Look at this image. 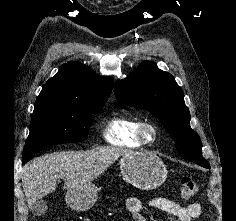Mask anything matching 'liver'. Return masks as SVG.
<instances>
[{
    "mask_svg": "<svg viewBox=\"0 0 236 221\" xmlns=\"http://www.w3.org/2000/svg\"><path fill=\"white\" fill-rule=\"evenodd\" d=\"M131 153L115 146L96 147L87 151H61L43 155L24 166L22 186L28 207L56 190L64 179L67 190L81 188L101 175L120 156Z\"/></svg>",
    "mask_w": 236,
    "mask_h": 221,
    "instance_id": "6515ba94",
    "label": "liver"
}]
</instances>
